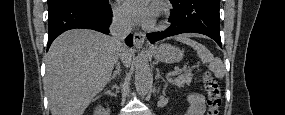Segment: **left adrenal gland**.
<instances>
[{
	"label": "left adrenal gland",
	"instance_id": "obj_1",
	"mask_svg": "<svg viewBox=\"0 0 285 115\" xmlns=\"http://www.w3.org/2000/svg\"><path fill=\"white\" fill-rule=\"evenodd\" d=\"M156 71H157V73H156L155 79H158V78L163 79L162 76L160 75V71L158 68L156 69Z\"/></svg>",
	"mask_w": 285,
	"mask_h": 115
}]
</instances>
